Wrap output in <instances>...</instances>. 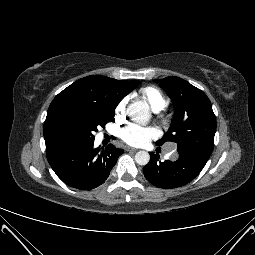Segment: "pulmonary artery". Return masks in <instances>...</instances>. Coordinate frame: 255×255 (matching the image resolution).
I'll return each instance as SVG.
<instances>
[{
	"label": "pulmonary artery",
	"mask_w": 255,
	"mask_h": 255,
	"mask_svg": "<svg viewBox=\"0 0 255 255\" xmlns=\"http://www.w3.org/2000/svg\"><path fill=\"white\" fill-rule=\"evenodd\" d=\"M166 157L170 159H174L176 157V148L172 146L169 149L168 153L166 154Z\"/></svg>",
	"instance_id": "1"
}]
</instances>
